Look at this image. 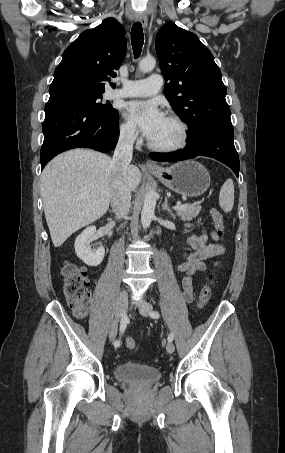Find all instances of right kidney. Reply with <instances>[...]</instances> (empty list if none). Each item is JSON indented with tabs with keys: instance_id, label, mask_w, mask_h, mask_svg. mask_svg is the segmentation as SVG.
Returning a JSON list of instances; mask_svg holds the SVG:
<instances>
[{
	"instance_id": "obj_1",
	"label": "right kidney",
	"mask_w": 285,
	"mask_h": 453,
	"mask_svg": "<svg viewBox=\"0 0 285 453\" xmlns=\"http://www.w3.org/2000/svg\"><path fill=\"white\" fill-rule=\"evenodd\" d=\"M96 233L95 226L87 227L75 240L76 255L88 266H98L105 255L103 247L98 248L96 251L91 250L90 241Z\"/></svg>"
}]
</instances>
